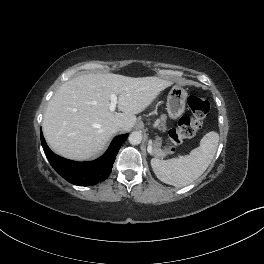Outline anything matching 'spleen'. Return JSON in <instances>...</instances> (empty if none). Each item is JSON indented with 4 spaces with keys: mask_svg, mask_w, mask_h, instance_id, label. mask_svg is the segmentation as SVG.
Segmentation results:
<instances>
[{
    "mask_svg": "<svg viewBox=\"0 0 264 264\" xmlns=\"http://www.w3.org/2000/svg\"><path fill=\"white\" fill-rule=\"evenodd\" d=\"M219 142V134L210 131L203 136L199 147L189 155L169 160L151 159L152 169L162 182L181 188L198 179L210 165Z\"/></svg>",
    "mask_w": 264,
    "mask_h": 264,
    "instance_id": "obj_1",
    "label": "spleen"
}]
</instances>
